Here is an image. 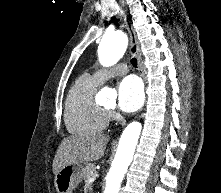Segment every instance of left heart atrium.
I'll use <instances>...</instances> for the list:
<instances>
[{"label":"left heart atrium","instance_id":"1","mask_svg":"<svg viewBox=\"0 0 221 193\" xmlns=\"http://www.w3.org/2000/svg\"><path fill=\"white\" fill-rule=\"evenodd\" d=\"M144 102V89L141 80L134 75L125 77L118 88V106L124 112L137 111Z\"/></svg>","mask_w":221,"mask_h":193}]
</instances>
